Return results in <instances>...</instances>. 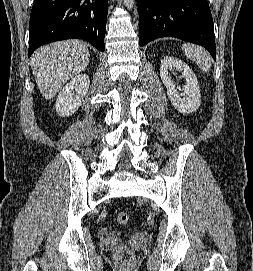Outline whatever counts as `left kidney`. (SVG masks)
I'll return each instance as SVG.
<instances>
[{
  "mask_svg": "<svg viewBox=\"0 0 253 271\" xmlns=\"http://www.w3.org/2000/svg\"><path fill=\"white\" fill-rule=\"evenodd\" d=\"M176 69L185 79L186 84L182 87L184 97L179 95L174 81L170 77V71ZM160 77L167 88V95L172 105L180 113L189 114L195 112L201 103V94L196 75L190 67L174 57H164L161 60Z\"/></svg>",
  "mask_w": 253,
  "mask_h": 271,
  "instance_id": "5707ae66",
  "label": "left kidney"
}]
</instances>
